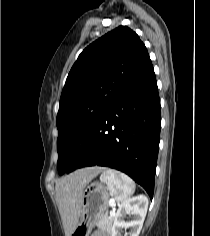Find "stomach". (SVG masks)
Masks as SVG:
<instances>
[{
	"label": "stomach",
	"instance_id": "obj_1",
	"mask_svg": "<svg viewBox=\"0 0 210 236\" xmlns=\"http://www.w3.org/2000/svg\"><path fill=\"white\" fill-rule=\"evenodd\" d=\"M110 193L101 182H93L83 192L79 222L71 236H89L108 209Z\"/></svg>",
	"mask_w": 210,
	"mask_h": 236
}]
</instances>
